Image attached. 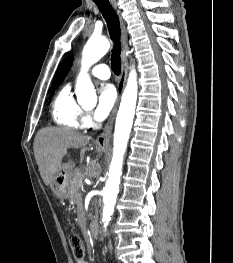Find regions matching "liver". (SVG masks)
Masks as SVG:
<instances>
[{
    "label": "liver",
    "instance_id": "1",
    "mask_svg": "<svg viewBox=\"0 0 233 263\" xmlns=\"http://www.w3.org/2000/svg\"><path fill=\"white\" fill-rule=\"evenodd\" d=\"M91 137L65 128H43L34 140V155L41 178L46 186L52 184L62 167V159L69 148L87 145Z\"/></svg>",
    "mask_w": 233,
    "mask_h": 263
}]
</instances>
